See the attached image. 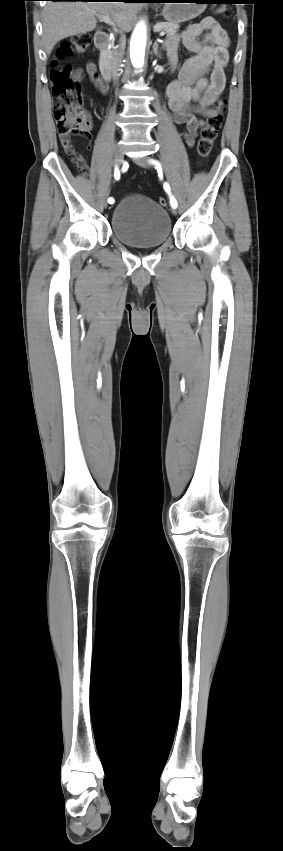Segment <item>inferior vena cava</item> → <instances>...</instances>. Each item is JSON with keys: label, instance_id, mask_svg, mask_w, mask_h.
<instances>
[{"label": "inferior vena cava", "instance_id": "inferior-vena-cava-1", "mask_svg": "<svg viewBox=\"0 0 283 851\" xmlns=\"http://www.w3.org/2000/svg\"><path fill=\"white\" fill-rule=\"evenodd\" d=\"M121 43H122V45L125 43V37H124V36H122V38H121ZM111 71H112V77H113V80H114L115 82H117V81H118V79H119V75H120V74H119V71H120V58H119L117 55H115V56H114V58H113Z\"/></svg>", "mask_w": 283, "mask_h": 851}]
</instances>
